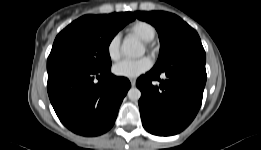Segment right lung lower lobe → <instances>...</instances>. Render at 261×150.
<instances>
[{
	"label": "right lung lower lobe",
	"mask_w": 261,
	"mask_h": 150,
	"mask_svg": "<svg viewBox=\"0 0 261 150\" xmlns=\"http://www.w3.org/2000/svg\"><path fill=\"white\" fill-rule=\"evenodd\" d=\"M130 86L127 78L114 76L110 68L98 72L74 68L48 72V95L58 118L83 136L101 135L114 125Z\"/></svg>",
	"instance_id": "obj_1"
}]
</instances>
